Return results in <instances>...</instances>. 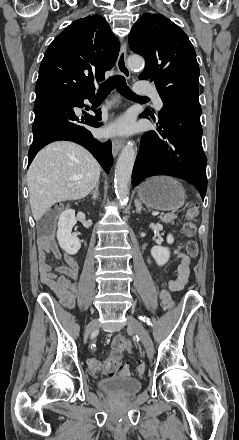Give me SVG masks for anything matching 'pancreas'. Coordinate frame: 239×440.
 I'll return each mask as SVG.
<instances>
[{"label":"pancreas","mask_w":239,"mask_h":440,"mask_svg":"<svg viewBox=\"0 0 239 440\" xmlns=\"http://www.w3.org/2000/svg\"><path fill=\"white\" fill-rule=\"evenodd\" d=\"M161 222L164 224H173V220H176L177 214H164V216H158Z\"/></svg>","instance_id":"1"}]
</instances>
